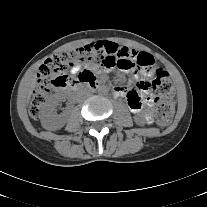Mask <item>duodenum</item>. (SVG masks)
<instances>
[{
    "instance_id": "duodenum-1",
    "label": "duodenum",
    "mask_w": 207,
    "mask_h": 207,
    "mask_svg": "<svg viewBox=\"0 0 207 207\" xmlns=\"http://www.w3.org/2000/svg\"><path fill=\"white\" fill-rule=\"evenodd\" d=\"M71 86H74L73 89L74 90H80L82 88H86V87H89V88H95L96 84L94 82V80H84V81H81V82H78V83H75V84H70Z\"/></svg>"
}]
</instances>
